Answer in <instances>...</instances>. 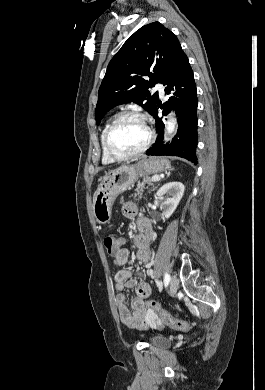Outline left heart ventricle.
Returning <instances> with one entry per match:
<instances>
[{
  "mask_svg": "<svg viewBox=\"0 0 265 390\" xmlns=\"http://www.w3.org/2000/svg\"><path fill=\"white\" fill-rule=\"evenodd\" d=\"M147 137V129L140 120L126 118L113 130L110 143L118 154H129L140 149Z\"/></svg>",
  "mask_w": 265,
  "mask_h": 390,
  "instance_id": "left-heart-ventricle-1",
  "label": "left heart ventricle"
}]
</instances>
